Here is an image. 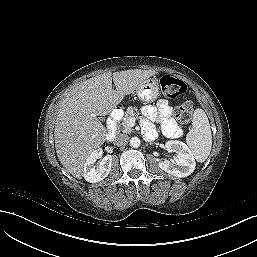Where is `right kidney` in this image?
<instances>
[{"label":"right kidney","mask_w":257,"mask_h":257,"mask_svg":"<svg viewBox=\"0 0 257 257\" xmlns=\"http://www.w3.org/2000/svg\"><path fill=\"white\" fill-rule=\"evenodd\" d=\"M103 150L101 148L94 150L86 159L83 168V177L87 182L96 183L102 181L108 176L112 167V156L107 155L99 162V165H94L97 159L101 158Z\"/></svg>","instance_id":"right-kidney-1"}]
</instances>
